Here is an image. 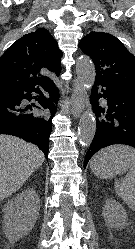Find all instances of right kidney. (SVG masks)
<instances>
[{"label": "right kidney", "mask_w": 135, "mask_h": 249, "mask_svg": "<svg viewBox=\"0 0 135 249\" xmlns=\"http://www.w3.org/2000/svg\"><path fill=\"white\" fill-rule=\"evenodd\" d=\"M39 210V196L31 189L21 192L8 201L3 210V230L10 242H16L31 232Z\"/></svg>", "instance_id": "ca27d5eb"}]
</instances>
